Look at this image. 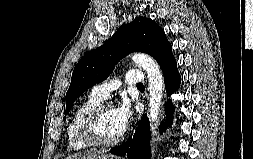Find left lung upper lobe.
I'll use <instances>...</instances> for the list:
<instances>
[{
  "label": "left lung upper lobe",
  "mask_w": 253,
  "mask_h": 159,
  "mask_svg": "<svg viewBox=\"0 0 253 159\" xmlns=\"http://www.w3.org/2000/svg\"><path fill=\"white\" fill-rule=\"evenodd\" d=\"M140 51L151 55L161 66L173 55L163 29L146 17L122 25L102 46L85 54L74 68L66 93L67 114L74 101L88 88L105 80L121 58Z\"/></svg>",
  "instance_id": "obj_1"
}]
</instances>
